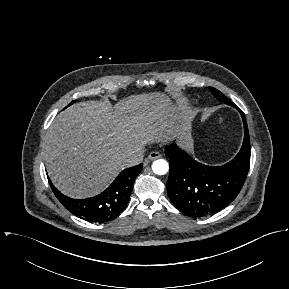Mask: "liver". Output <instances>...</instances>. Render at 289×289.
<instances>
[{"label": "liver", "instance_id": "obj_1", "mask_svg": "<svg viewBox=\"0 0 289 289\" xmlns=\"http://www.w3.org/2000/svg\"><path fill=\"white\" fill-rule=\"evenodd\" d=\"M177 108L163 93L131 96L115 106L89 102L61 112L44 137L48 175L71 198L106 189L127 167L125 157L148 142L183 135Z\"/></svg>", "mask_w": 289, "mask_h": 289}]
</instances>
